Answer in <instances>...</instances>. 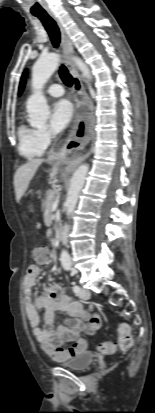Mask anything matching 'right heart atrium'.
I'll use <instances>...</instances> for the list:
<instances>
[{
  "instance_id": "1",
  "label": "right heart atrium",
  "mask_w": 155,
  "mask_h": 413,
  "mask_svg": "<svg viewBox=\"0 0 155 413\" xmlns=\"http://www.w3.org/2000/svg\"><path fill=\"white\" fill-rule=\"evenodd\" d=\"M37 135L39 143L44 149L49 147L55 138V134L49 129H40L38 130Z\"/></svg>"
}]
</instances>
